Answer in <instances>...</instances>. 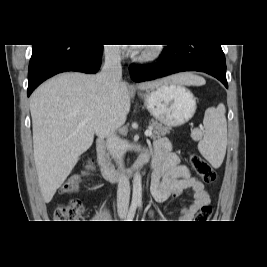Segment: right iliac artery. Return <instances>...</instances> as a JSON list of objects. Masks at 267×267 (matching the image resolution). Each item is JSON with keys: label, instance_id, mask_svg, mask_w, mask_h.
I'll list each match as a JSON object with an SVG mask.
<instances>
[{"label": "right iliac artery", "instance_id": "82829eb1", "mask_svg": "<svg viewBox=\"0 0 267 267\" xmlns=\"http://www.w3.org/2000/svg\"><path fill=\"white\" fill-rule=\"evenodd\" d=\"M136 208H137V204L132 203L127 215V221H132V219L134 218L135 212H136Z\"/></svg>", "mask_w": 267, "mask_h": 267}]
</instances>
